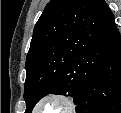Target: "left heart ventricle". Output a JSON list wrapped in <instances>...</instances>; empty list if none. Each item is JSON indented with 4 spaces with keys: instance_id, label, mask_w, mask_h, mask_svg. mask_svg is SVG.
I'll return each instance as SVG.
<instances>
[{
    "instance_id": "1",
    "label": "left heart ventricle",
    "mask_w": 121,
    "mask_h": 113,
    "mask_svg": "<svg viewBox=\"0 0 121 113\" xmlns=\"http://www.w3.org/2000/svg\"><path fill=\"white\" fill-rule=\"evenodd\" d=\"M66 110V106L56 100H48L44 102L38 109V113H63Z\"/></svg>"
}]
</instances>
